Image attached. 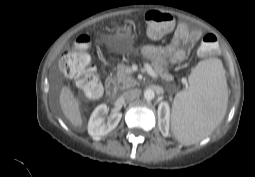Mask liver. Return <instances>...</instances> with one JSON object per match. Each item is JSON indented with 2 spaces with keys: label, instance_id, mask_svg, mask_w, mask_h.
I'll return each instance as SVG.
<instances>
[{
  "label": "liver",
  "instance_id": "obj_1",
  "mask_svg": "<svg viewBox=\"0 0 255 177\" xmlns=\"http://www.w3.org/2000/svg\"><path fill=\"white\" fill-rule=\"evenodd\" d=\"M59 103L63 114L69 122L75 127H81L83 121L79 111V101L74 97V94L71 92L69 87H62Z\"/></svg>",
  "mask_w": 255,
  "mask_h": 177
}]
</instances>
